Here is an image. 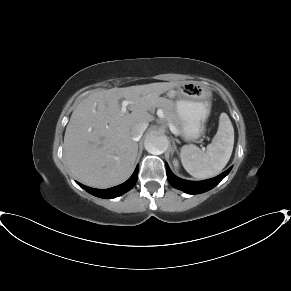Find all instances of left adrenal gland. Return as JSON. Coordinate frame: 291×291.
Listing matches in <instances>:
<instances>
[{"instance_id":"obj_1","label":"left adrenal gland","mask_w":291,"mask_h":291,"mask_svg":"<svg viewBox=\"0 0 291 291\" xmlns=\"http://www.w3.org/2000/svg\"><path fill=\"white\" fill-rule=\"evenodd\" d=\"M173 148H174V150H176V151H177V147H176V145H175V142H174V140H173Z\"/></svg>"}]
</instances>
